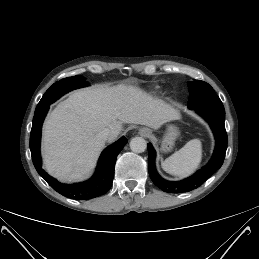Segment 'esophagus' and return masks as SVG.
<instances>
[{
    "label": "esophagus",
    "mask_w": 259,
    "mask_h": 259,
    "mask_svg": "<svg viewBox=\"0 0 259 259\" xmlns=\"http://www.w3.org/2000/svg\"><path fill=\"white\" fill-rule=\"evenodd\" d=\"M150 133H151V131H150L149 129H147V128H143V129L141 130V134H142L143 136H148V135H150Z\"/></svg>",
    "instance_id": "34e87169"
}]
</instances>
